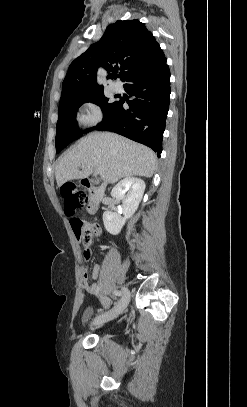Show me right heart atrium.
<instances>
[{
    "instance_id": "obj_1",
    "label": "right heart atrium",
    "mask_w": 247,
    "mask_h": 407,
    "mask_svg": "<svg viewBox=\"0 0 247 407\" xmlns=\"http://www.w3.org/2000/svg\"><path fill=\"white\" fill-rule=\"evenodd\" d=\"M102 119L103 111L97 102L88 100L80 105L77 120L82 126H96L102 121Z\"/></svg>"
}]
</instances>
